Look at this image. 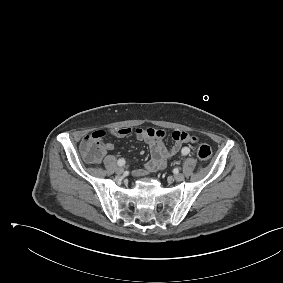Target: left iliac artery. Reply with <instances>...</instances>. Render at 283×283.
<instances>
[{"label": "left iliac artery", "instance_id": "left-iliac-artery-1", "mask_svg": "<svg viewBox=\"0 0 283 283\" xmlns=\"http://www.w3.org/2000/svg\"><path fill=\"white\" fill-rule=\"evenodd\" d=\"M189 152H190V150L187 147L182 149V155H187Z\"/></svg>", "mask_w": 283, "mask_h": 283}]
</instances>
